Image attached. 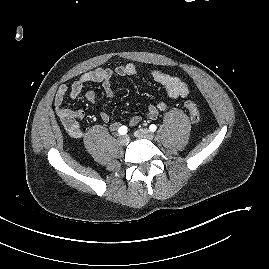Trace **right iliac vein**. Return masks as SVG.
I'll return each mask as SVG.
<instances>
[{
    "instance_id": "obj_1",
    "label": "right iliac vein",
    "mask_w": 269,
    "mask_h": 269,
    "mask_svg": "<svg viewBox=\"0 0 269 269\" xmlns=\"http://www.w3.org/2000/svg\"><path fill=\"white\" fill-rule=\"evenodd\" d=\"M118 142L121 145H127L129 143V137L127 135L120 136L119 139H118Z\"/></svg>"
}]
</instances>
